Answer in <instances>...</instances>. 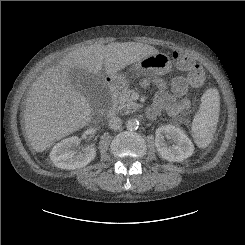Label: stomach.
Segmentation results:
<instances>
[{
	"label": "stomach",
	"mask_w": 245,
	"mask_h": 245,
	"mask_svg": "<svg viewBox=\"0 0 245 245\" xmlns=\"http://www.w3.org/2000/svg\"><path fill=\"white\" fill-rule=\"evenodd\" d=\"M172 67L171 59L168 55L158 52L157 54L147 56L135 63L131 71L135 73L151 72L158 75H164L170 71ZM114 80L120 79L122 82H126V75L114 74L111 75Z\"/></svg>",
	"instance_id": "stomach-1"
}]
</instances>
